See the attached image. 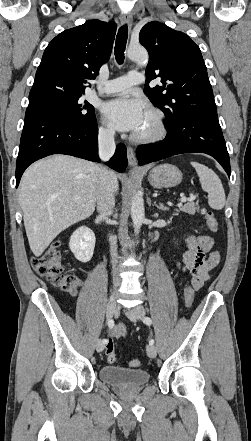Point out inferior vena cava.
<instances>
[{
  "label": "inferior vena cava",
  "mask_w": 251,
  "mask_h": 441,
  "mask_svg": "<svg viewBox=\"0 0 251 441\" xmlns=\"http://www.w3.org/2000/svg\"><path fill=\"white\" fill-rule=\"evenodd\" d=\"M115 131L112 129L100 130L98 135L99 157L103 161H108L115 152ZM115 182L116 177L114 173L106 167L100 169L97 182V211L100 217L106 218L112 214L115 200ZM110 253L112 257V264L114 269V286L119 285V279L115 266L117 264V238L115 236L109 237Z\"/></svg>",
  "instance_id": "1"
}]
</instances>
